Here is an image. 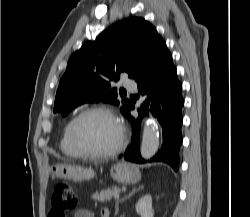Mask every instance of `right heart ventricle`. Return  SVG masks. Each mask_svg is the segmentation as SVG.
<instances>
[{"label":"right heart ventricle","instance_id":"right-heart-ventricle-1","mask_svg":"<svg viewBox=\"0 0 250 217\" xmlns=\"http://www.w3.org/2000/svg\"><path fill=\"white\" fill-rule=\"evenodd\" d=\"M69 124H70V121H68L63 128L61 139H60V149L65 156L69 158L77 159V158H80L81 156L75 150V148L72 146L70 142Z\"/></svg>","mask_w":250,"mask_h":217}]
</instances>
